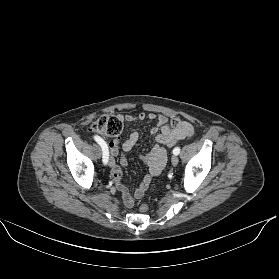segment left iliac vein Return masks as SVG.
<instances>
[{"instance_id": "4c4485c4", "label": "left iliac vein", "mask_w": 279, "mask_h": 279, "mask_svg": "<svg viewBox=\"0 0 279 279\" xmlns=\"http://www.w3.org/2000/svg\"><path fill=\"white\" fill-rule=\"evenodd\" d=\"M179 162V159L177 157V155H173L172 158H171V163L173 166H176Z\"/></svg>"}]
</instances>
